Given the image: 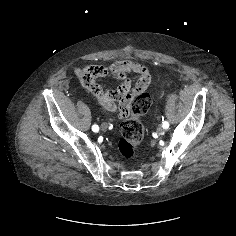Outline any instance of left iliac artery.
Masks as SVG:
<instances>
[{
  "label": "left iliac artery",
  "mask_w": 236,
  "mask_h": 236,
  "mask_svg": "<svg viewBox=\"0 0 236 236\" xmlns=\"http://www.w3.org/2000/svg\"><path fill=\"white\" fill-rule=\"evenodd\" d=\"M162 127H163L164 129H168L169 123H168L167 121H164V122L162 123Z\"/></svg>",
  "instance_id": "44dca946"
}]
</instances>
